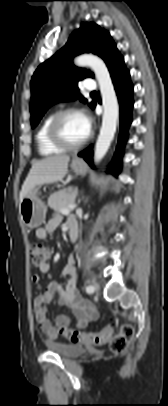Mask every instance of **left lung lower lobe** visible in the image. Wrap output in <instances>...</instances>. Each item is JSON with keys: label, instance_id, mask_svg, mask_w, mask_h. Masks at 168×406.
Here are the masks:
<instances>
[{"label": "left lung lower lobe", "instance_id": "1", "mask_svg": "<svg viewBox=\"0 0 168 406\" xmlns=\"http://www.w3.org/2000/svg\"><path fill=\"white\" fill-rule=\"evenodd\" d=\"M108 69L118 96L120 104V134L118 139V145L114 158L109 166V170L115 174L120 172L121 159L123 156L124 144L128 138V127L131 124V111L133 108V85L130 81L129 71L126 69L124 59L118 52L108 64ZM95 107V106H94ZM93 107V108H94ZM78 156L83 157L91 166L92 163V146H89Z\"/></svg>", "mask_w": 168, "mask_h": 406}]
</instances>
